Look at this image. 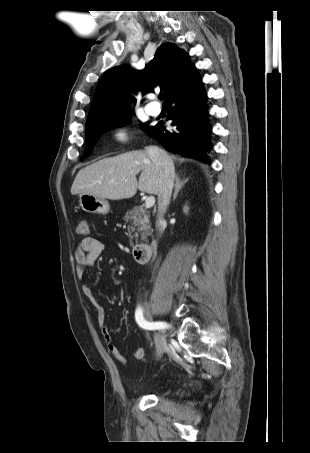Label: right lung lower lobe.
Returning a JSON list of instances; mask_svg holds the SVG:
<instances>
[{"label":"right lung lower lobe","mask_w":310,"mask_h":453,"mask_svg":"<svg viewBox=\"0 0 310 453\" xmlns=\"http://www.w3.org/2000/svg\"><path fill=\"white\" fill-rule=\"evenodd\" d=\"M207 96L196 69L166 99L168 119H172V132L165 130L163 123L147 129V134L161 143L168 151L180 153L208 162L206 151L211 148L206 125Z\"/></svg>","instance_id":"right-lung-lower-lobe-1"}]
</instances>
